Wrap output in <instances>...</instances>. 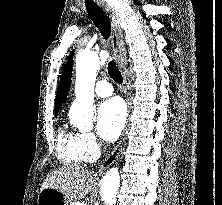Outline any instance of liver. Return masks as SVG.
Here are the masks:
<instances>
[{
  "label": "liver",
  "mask_w": 222,
  "mask_h": 205,
  "mask_svg": "<svg viewBox=\"0 0 222 205\" xmlns=\"http://www.w3.org/2000/svg\"><path fill=\"white\" fill-rule=\"evenodd\" d=\"M96 186V176L79 166L72 165L54 170L47 175L42 188L62 191L69 199H82Z\"/></svg>",
  "instance_id": "6515ba94"
}]
</instances>
